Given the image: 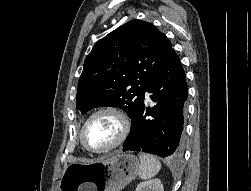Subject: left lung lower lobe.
Segmentation results:
<instances>
[{
    "instance_id": "1",
    "label": "left lung lower lobe",
    "mask_w": 251,
    "mask_h": 191,
    "mask_svg": "<svg viewBox=\"0 0 251 191\" xmlns=\"http://www.w3.org/2000/svg\"><path fill=\"white\" fill-rule=\"evenodd\" d=\"M156 105L144 100L132 123L123 151H143L161 157L182 153L188 86L178 55L172 49L146 90Z\"/></svg>"
}]
</instances>
